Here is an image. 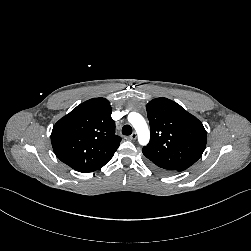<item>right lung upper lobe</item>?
<instances>
[{
	"mask_svg": "<svg viewBox=\"0 0 251 251\" xmlns=\"http://www.w3.org/2000/svg\"><path fill=\"white\" fill-rule=\"evenodd\" d=\"M112 108L105 98H93L74 108L53 127L56 156L76 171L100 169L113 157L121 137L115 134Z\"/></svg>",
	"mask_w": 251,
	"mask_h": 251,
	"instance_id": "right-lung-upper-lobe-1",
	"label": "right lung upper lobe"
}]
</instances>
